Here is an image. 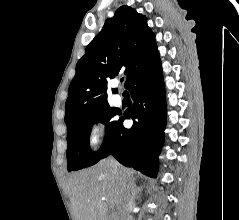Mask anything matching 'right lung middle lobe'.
Returning a JSON list of instances; mask_svg holds the SVG:
<instances>
[{
    "instance_id": "right-lung-middle-lobe-1",
    "label": "right lung middle lobe",
    "mask_w": 239,
    "mask_h": 220,
    "mask_svg": "<svg viewBox=\"0 0 239 220\" xmlns=\"http://www.w3.org/2000/svg\"><path fill=\"white\" fill-rule=\"evenodd\" d=\"M116 114L115 109L107 105L81 116L67 128L68 171H75L89 167L100 160V157L111 141L113 131L117 126L118 121H111L112 117ZM97 122L105 124V139L100 150L90 154V128Z\"/></svg>"
}]
</instances>
